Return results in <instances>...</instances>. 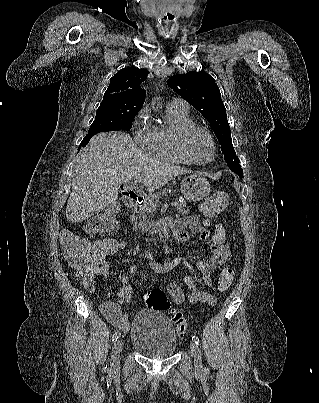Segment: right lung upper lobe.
Returning <instances> with one entry per match:
<instances>
[{
	"mask_svg": "<svg viewBox=\"0 0 319 403\" xmlns=\"http://www.w3.org/2000/svg\"><path fill=\"white\" fill-rule=\"evenodd\" d=\"M148 71L127 67L115 74L106 90L101 104H123L141 109L146 91L141 88Z\"/></svg>",
	"mask_w": 319,
	"mask_h": 403,
	"instance_id": "right-lung-upper-lobe-1",
	"label": "right lung upper lobe"
}]
</instances>
